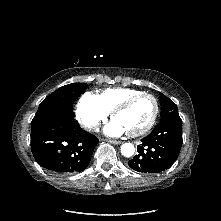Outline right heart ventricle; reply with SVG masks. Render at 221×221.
Masks as SVG:
<instances>
[{
  "label": "right heart ventricle",
  "mask_w": 221,
  "mask_h": 221,
  "mask_svg": "<svg viewBox=\"0 0 221 221\" xmlns=\"http://www.w3.org/2000/svg\"><path fill=\"white\" fill-rule=\"evenodd\" d=\"M139 93H142V91L133 88L118 87L104 90L99 97L106 109L110 112L127 98Z\"/></svg>",
  "instance_id": "right-heart-ventricle-1"
}]
</instances>
